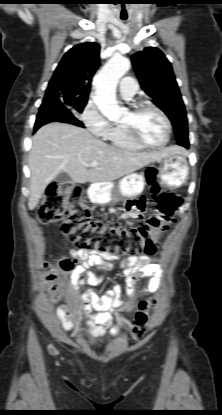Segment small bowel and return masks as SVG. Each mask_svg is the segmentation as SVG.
I'll return each mask as SVG.
<instances>
[{"label": "small bowel", "instance_id": "small-bowel-1", "mask_svg": "<svg viewBox=\"0 0 222 415\" xmlns=\"http://www.w3.org/2000/svg\"><path fill=\"white\" fill-rule=\"evenodd\" d=\"M128 211L132 212L131 206L128 208ZM70 253L75 260L80 261V264L72 273L73 288L85 284L90 286L99 285L102 282V278L96 272L91 271V269H96L98 272H106L111 270L114 265H118L123 269L129 285L125 290L126 296L132 294L133 290L131 285L139 276L151 277L149 285L141 290V295L153 293L159 289L162 271L157 258L146 255L128 257L111 254L102 255L80 249H72ZM120 295V288L115 287L102 296L90 292L88 297L83 300V310L88 314L84 323L90 338L102 341L107 333L115 336L123 328L125 323L123 318H117L114 324H112L111 318V314L117 308H130V305L123 303ZM92 310H96L97 313L91 314ZM57 314L63 318V328L65 330H71L73 328V322L64 318V309L59 308Z\"/></svg>", "mask_w": 222, "mask_h": 415}]
</instances>
